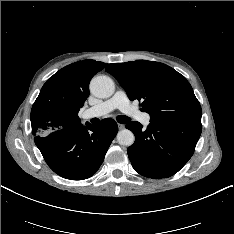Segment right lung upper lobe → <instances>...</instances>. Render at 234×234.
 <instances>
[{
    "label": "right lung upper lobe",
    "mask_w": 234,
    "mask_h": 234,
    "mask_svg": "<svg viewBox=\"0 0 234 234\" xmlns=\"http://www.w3.org/2000/svg\"><path fill=\"white\" fill-rule=\"evenodd\" d=\"M106 65L95 60L78 61L51 76L32 106V133L37 136L81 125L78 112L89 96V82Z\"/></svg>",
    "instance_id": "obj_1"
}]
</instances>
